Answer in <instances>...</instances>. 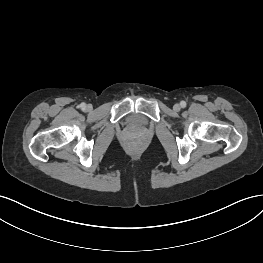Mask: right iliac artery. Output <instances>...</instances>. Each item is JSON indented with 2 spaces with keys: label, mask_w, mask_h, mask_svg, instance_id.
<instances>
[{
  "label": "right iliac artery",
  "mask_w": 263,
  "mask_h": 263,
  "mask_svg": "<svg viewBox=\"0 0 263 263\" xmlns=\"http://www.w3.org/2000/svg\"><path fill=\"white\" fill-rule=\"evenodd\" d=\"M85 107H86V104H85V103H81V104H80V108H81V109H85Z\"/></svg>",
  "instance_id": "right-iliac-artery-1"
}]
</instances>
